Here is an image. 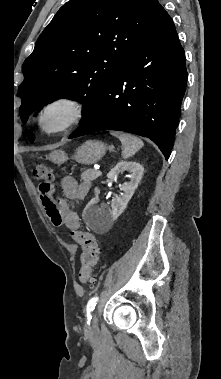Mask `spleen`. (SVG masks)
I'll list each match as a JSON object with an SVG mask.
<instances>
[{
	"label": "spleen",
	"mask_w": 221,
	"mask_h": 379,
	"mask_svg": "<svg viewBox=\"0 0 221 379\" xmlns=\"http://www.w3.org/2000/svg\"><path fill=\"white\" fill-rule=\"evenodd\" d=\"M112 135L117 137L122 143V158L127 159L132 157L143 146V141L128 133L112 132Z\"/></svg>",
	"instance_id": "1"
}]
</instances>
